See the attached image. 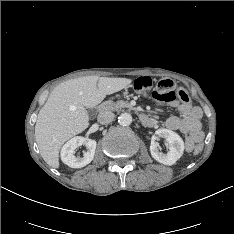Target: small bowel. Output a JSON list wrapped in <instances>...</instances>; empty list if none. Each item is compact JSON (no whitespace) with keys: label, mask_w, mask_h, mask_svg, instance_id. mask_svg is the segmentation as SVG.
<instances>
[{"label":"small bowel","mask_w":234,"mask_h":234,"mask_svg":"<svg viewBox=\"0 0 234 234\" xmlns=\"http://www.w3.org/2000/svg\"><path fill=\"white\" fill-rule=\"evenodd\" d=\"M160 105L176 108L180 115L169 117L164 126L169 130H179L184 134L188 135L187 145L190 146L195 142L199 141L203 137L201 127L202 111L200 108L191 104H181L178 100L173 99L169 101L156 99ZM149 127H154L156 121L153 118L148 117V121L144 123Z\"/></svg>","instance_id":"obj_1"}]
</instances>
